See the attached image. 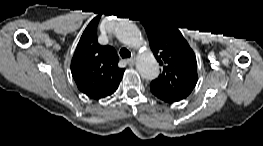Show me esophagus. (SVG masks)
Returning a JSON list of instances; mask_svg holds the SVG:
<instances>
[{
    "mask_svg": "<svg viewBox=\"0 0 263 146\" xmlns=\"http://www.w3.org/2000/svg\"><path fill=\"white\" fill-rule=\"evenodd\" d=\"M128 64H129L130 66H133V65L135 64V57L130 58V59L128 60Z\"/></svg>",
    "mask_w": 263,
    "mask_h": 146,
    "instance_id": "esophagus-1",
    "label": "esophagus"
}]
</instances>
